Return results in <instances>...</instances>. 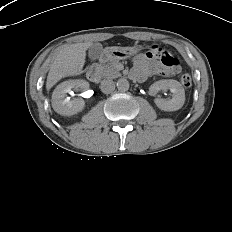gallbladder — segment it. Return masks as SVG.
Here are the masks:
<instances>
[{
    "label": "gallbladder",
    "mask_w": 232,
    "mask_h": 232,
    "mask_svg": "<svg viewBox=\"0 0 232 232\" xmlns=\"http://www.w3.org/2000/svg\"><path fill=\"white\" fill-rule=\"evenodd\" d=\"M102 46L99 43L93 44L89 50H88V57L91 60H96L100 57V55L102 54Z\"/></svg>",
    "instance_id": "bac80fb5"
}]
</instances>
